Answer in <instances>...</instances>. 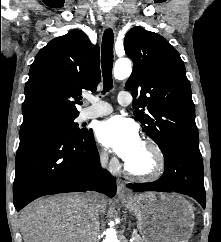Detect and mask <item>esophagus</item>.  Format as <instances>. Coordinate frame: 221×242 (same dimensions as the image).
Wrapping results in <instances>:
<instances>
[{
	"label": "esophagus",
	"mask_w": 221,
	"mask_h": 242,
	"mask_svg": "<svg viewBox=\"0 0 221 242\" xmlns=\"http://www.w3.org/2000/svg\"><path fill=\"white\" fill-rule=\"evenodd\" d=\"M115 23V19L114 18H106V26L107 27H113ZM117 196L119 198H123V197H129L130 194L127 191L124 183L121 180L117 181Z\"/></svg>",
	"instance_id": "esophagus-1"
}]
</instances>
